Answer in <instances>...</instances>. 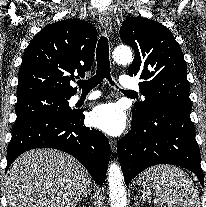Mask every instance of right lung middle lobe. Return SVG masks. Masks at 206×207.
I'll use <instances>...</instances> for the list:
<instances>
[{
	"label": "right lung middle lobe",
	"mask_w": 206,
	"mask_h": 207,
	"mask_svg": "<svg viewBox=\"0 0 206 207\" xmlns=\"http://www.w3.org/2000/svg\"><path fill=\"white\" fill-rule=\"evenodd\" d=\"M70 97L71 95L43 93L18 98L15 124L39 117L71 114L73 110L68 105Z\"/></svg>",
	"instance_id": "1"
}]
</instances>
